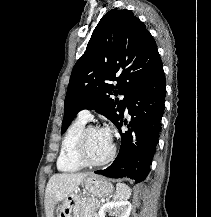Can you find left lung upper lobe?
Returning <instances> with one entry per match:
<instances>
[{
    "mask_svg": "<svg viewBox=\"0 0 211 217\" xmlns=\"http://www.w3.org/2000/svg\"><path fill=\"white\" fill-rule=\"evenodd\" d=\"M161 66L156 43L145 25L129 10L108 11L73 67L61 133L82 109H95L116 125L134 89ZM118 94L124 95L122 101L110 98Z\"/></svg>",
    "mask_w": 211,
    "mask_h": 217,
    "instance_id": "5c2ea615",
    "label": "left lung upper lobe"
}]
</instances>
